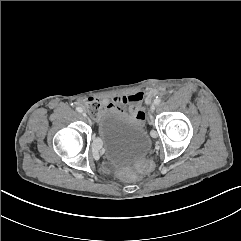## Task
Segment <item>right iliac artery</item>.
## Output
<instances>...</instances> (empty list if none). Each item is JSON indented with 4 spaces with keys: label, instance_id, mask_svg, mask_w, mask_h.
I'll use <instances>...</instances> for the list:
<instances>
[{
    "label": "right iliac artery",
    "instance_id": "82829eb1",
    "mask_svg": "<svg viewBox=\"0 0 241 241\" xmlns=\"http://www.w3.org/2000/svg\"><path fill=\"white\" fill-rule=\"evenodd\" d=\"M76 110L80 113L83 111V109L81 107H77Z\"/></svg>",
    "mask_w": 241,
    "mask_h": 241
}]
</instances>
